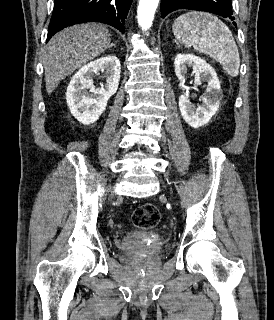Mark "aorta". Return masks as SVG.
Listing matches in <instances>:
<instances>
[{"label": "aorta", "instance_id": "762f6f07", "mask_svg": "<svg viewBox=\"0 0 274 320\" xmlns=\"http://www.w3.org/2000/svg\"><path fill=\"white\" fill-rule=\"evenodd\" d=\"M160 0H139L137 19L143 31H147L154 19V14Z\"/></svg>", "mask_w": 274, "mask_h": 320}]
</instances>
